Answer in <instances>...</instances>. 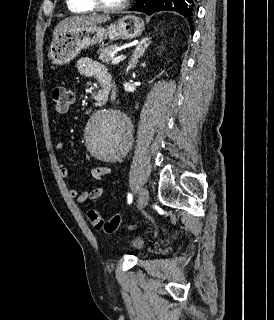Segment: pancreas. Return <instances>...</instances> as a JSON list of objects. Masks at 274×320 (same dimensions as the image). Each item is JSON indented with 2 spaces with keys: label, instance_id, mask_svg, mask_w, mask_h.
I'll return each instance as SVG.
<instances>
[{
  "label": "pancreas",
  "instance_id": "pancreas-1",
  "mask_svg": "<svg viewBox=\"0 0 274 320\" xmlns=\"http://www.w3.org/2000/svg\"><path fill=\"white\" fill-rule=\"evenodd\" d=\"M118 46H108V48H99L98 60H102V62H110V56H112L113 52H116Z\"/></svg>",
  "mask_w": 274,
  "mask_h": 320
}]
</instances>
